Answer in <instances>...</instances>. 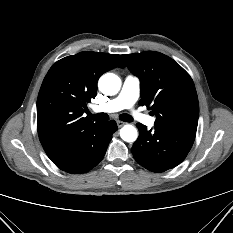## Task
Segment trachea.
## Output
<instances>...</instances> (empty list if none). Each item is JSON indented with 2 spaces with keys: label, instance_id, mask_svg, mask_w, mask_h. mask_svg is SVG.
I'll return each instance as SVG.
<instances>
[{
  "label": "trachea",
  "instance_id": "1",
  "mask_svg": "<svg viewBox=\"0 0 233 233\" xmlns=\"http://www.w3.org/2000/svg\"><path fill=\"white\" fill-rule=\"evenodd\" d=\"M90 116V118L94 121H97V122H105L109 119V116L106 114V113H98V114H88ZM120 120L124 121V122H132L133 119L132 117L129 115V114H121L120 115Z\"/></svg>",
  "mask_w": 233,
  "mask_h": 233
}]
</instances>
